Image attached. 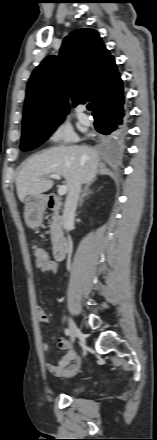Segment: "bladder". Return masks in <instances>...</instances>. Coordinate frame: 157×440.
Listing matches in <instances>:
<instances>
[{"instance_id":"obj_1","label":"bladder","mask_w":157,"mask_h":440,"mask_svg":"<svg viewBox=\"0 0 157 440\" xmlns=\"http://www.w3.org/2000/svg\"><path fill=\"white\" fill-rule=\"evenodd\" d=\"M81 390H82L81 387H77V388H73V389H71L70 392H71L72 394H76V393H79Z\"/></svg>"}]
</instances>
